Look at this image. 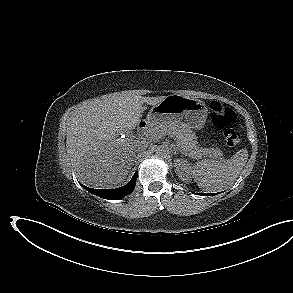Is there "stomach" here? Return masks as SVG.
<instances>
[{
	"label": "stomach",
	"instance_id": "obj_1",
	"mask_svg": "<svg viewBox=\"0 0 293 293\" xmlns=\"http://www.w3.org/2000/svg\"><path fill=\"white\" fill-rule=\"evenodd\" d=\"M207 117L208 108L203 101L173 94L166 96L161 102L151 107L147 115V122L155 126L185 119L189 127L199 130L204 126Z\"/></svg>",
	"mask_w": 293,
	"mask_h": 293
}]
</instances>
